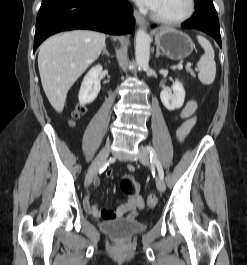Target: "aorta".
Instances as JSON below:
<instances>
[{
  "label": "aorta",
  "mask_w": 247,
  "mask_h": 265,
  "mask_svg": "<svg viewBox=\"0 0 247 265\" xmlns=\"http://www.w3.org/2000/svg\"><path fill=\"white\" fill-rule=\"evenodd\" d=\"M150 43L149 36L143 29H139L135 37V59L137 65L146 69L149 64Z\"/></svg>",
  "instance_id": "762f6f07"
}]
</instances>
